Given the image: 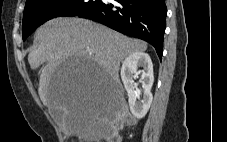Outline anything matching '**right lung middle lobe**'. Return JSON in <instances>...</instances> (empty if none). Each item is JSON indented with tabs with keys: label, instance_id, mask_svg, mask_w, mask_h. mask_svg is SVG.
Masks as SVG:
<instances>
[{
	"label": "right lung middle lobe",
	"instance_id": "dd1d6c3e",
	"mask_svg": "<svg viewBox=\"0 0 227 142\" xmlns=\"http://www.w3.org/2000/svg\"><path fill=\"white\" fill-rule=\"evenodd\" d=\"M102 0H28L23 13L22 37L25 40L46 21L60 16H78Z\"/></svg>",
	"mask_w": 227,
	"mask_h": 142
}]
</instances>
